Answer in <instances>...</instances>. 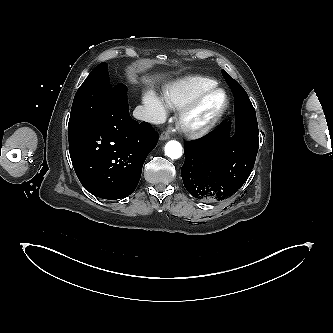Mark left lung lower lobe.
<instances>
[{"instance_id":"obj_1","label":"left lung lower lobe","mask_w":333,"mask_h":333,"mask_svg":"<svg viewBox=\"0 0 333 333\" xmlns=\"http://www.w3.org/2000/svg\"><path fill=\"white\" fill-rule=\"evenodd\" d=\"M258 151L257 137L226 123L206 136L185 142L181 175L191 195L205 202L222 201L235 194L249 177Z\"/></svg>"}]
</instances>
